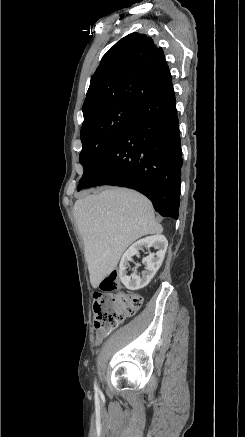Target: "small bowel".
Returning <instances> with one entry per match:
<instances>
[{"label": "small bowel", "instance_id": "obj_1", "mask_svg": "<svg viewBox=\"0 0 245 437\" xmlns=\"http://www.w3.org/2000/svg\"><path fill=\"white\" fill-rule=\"evenodd\" d=\"M105 335L97 334V342H100Z\"/></svg>", "mask_w": 245, "mask_h": 437}]
</instances>
